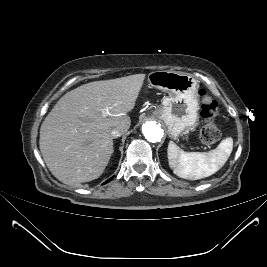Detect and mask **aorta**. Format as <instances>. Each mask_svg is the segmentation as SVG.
Segmentation results:
<instances>
[{
	"label": "aorta",
	"instance_id": "1",
	"mask_svg": "<svg viewBox=\"0 0 267 267\" xmlns=\"http://www.w3.org/2000/svg\"><path fill=\"white\" fill-rule=\"evenodd\" d=\"M142 133L144 137L152 143L159 142L163 136L162 129L155 121H146L142 125Z\"/></svg>",
	"mask_w": 267,
	"mask_h": 267
}]
</instances>
